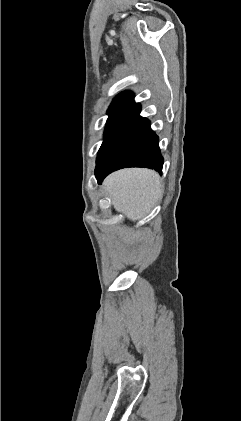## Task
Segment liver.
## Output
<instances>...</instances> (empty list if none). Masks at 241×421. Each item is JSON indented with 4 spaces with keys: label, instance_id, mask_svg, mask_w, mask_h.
Segmentation results:
<instances>
[{
    "label": "liver",
    "instance_id": "liver-1",
    "mask_svg": "<svg viewBox=\"0 0 241 421\" xmlns=\"http://www.w3.org/2000/svg\"><path fill=\"white\" fill-rule=\"evenodd\" d=\"M104 188L115 210L137 221L150 212L163 192L160 176L150 169H123L109 175Z\"/></svg>",
    "mask_w": 241,
    "mask_h": 421
}]
</instances>
